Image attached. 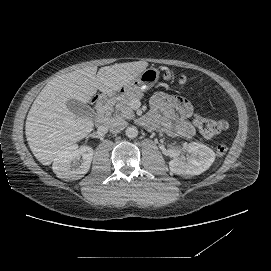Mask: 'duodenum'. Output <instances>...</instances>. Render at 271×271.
I'll return each instance as SVG.
<instances>
[{"label":"duodenum","instance_id":"410a0bca","mask_svg":"<svg viewBox=\"0 0 271 271\" xmlns=\"http://www.w3.org/2000/svg\"><path fill=\"white\" fill-rule=\"evenodd\" d=\"M114 100V95L105 93L97 99V120L99 123L106 121L111 112V105Z\"/></svg>","mask_w":271,"mask_h":271}]
</instances>
